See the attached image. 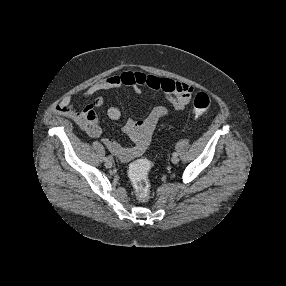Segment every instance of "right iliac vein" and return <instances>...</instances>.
<instances>
[{
  "instance_id": "right-iliac-vein-1",
  "label": "right iliac vein",
  "mask_w": 286,
  "mask_h": 286,
  "mask_svg": "<svg viewBox=\"0 0 286 286\" xmlns=\"http://www.w3.org/2000/svg\"><path fill=\"white\" fill-rule=\"evenodd\" d=\"M112 165H113V163H112L111 160L105 162V167H106V168H111Z\"/></svg>"
}]
</instances>
